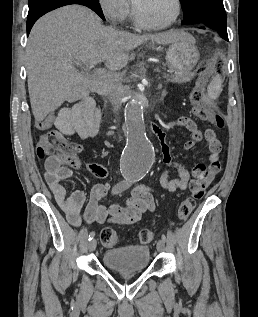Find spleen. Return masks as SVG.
Instances as JSON below:
<instances>
[{
  "label": "spleen",
  "mask_w": 258,
  "mask_h": 317,
  "mask_svg": "<svg viewBox=\"0 0 258 317\" xmlns=\"http://www.w3.org/2000/svg\"><path fill=\"white\" fill-rule=\"evenodd\" d=\"M221 78L220 76H213L210 84H208L207 92L209 98H218L221 92Z\"/></svg>",
  "instance_id": "obj_1"
}]
</instances>
